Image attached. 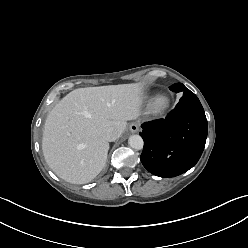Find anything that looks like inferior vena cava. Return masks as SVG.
<instances>
[{"mask_svg":"<svg viewBox=\"0 0 248 248\" xmlns=\"http://www.w3.org/2000/svg\"><path fill=\"white\" fill-rule=\"evenodd\" d=\"M102 137L110 142L115 141L119 137V134L113 127H109L103 130Z\"/></svg>","mask_w":248,"mask_h":248,"instance_id":"1","label":"inferior vena cava"}]
</instances>
